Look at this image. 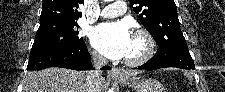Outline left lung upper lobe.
<instances>
[{"instance_id": "5c2ea615", "label": "left lung upper lobe", "mask_w": 225, "mask_h": 92, "mask_svg": "<svg viewBox=\"0 0 225 92\" xmlns=\"http://www.w3.org/2000/svg\"><path fill=\"white\" fill-rule=\"evenodd\" d=\"M140 21L159 45L157 55L189 54L174 0H129Z\"/></svg>"}]
</instances>
